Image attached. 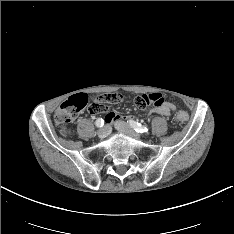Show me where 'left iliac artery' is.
I'll list each match as a JSON object with an SVG mask.
<instances>
[{
    "label": "left iliac artery",
    "instance_id": "obj_1",
    "mask_svg": "<svg viewBox=\"0 0 234 234\" xmlns=\"http://www.w3.org/2000/svg\"><path fill=\"white\" fill-rule=\"evenodd\" d=\"M128 123L138 133H146L149 130L146 126H143L134 120H129Z\"/></svg>",
    "mask_w": 234,
    "mask_h": 234
}]
</instances>
